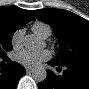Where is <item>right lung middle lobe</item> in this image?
I'll use <instances>...</instances> for the list:
<instances>
[{"label": "right lung middle lobe", "mask_w": 89, "mask_h": 89, "mask_svg": "<svg viewBox=\"0 0 89 89\" xmlns=\"http://www.w3.org/2000/svg\"><path fill=\"white\" fill-rule=\"evenodd\" d=\"M13 31L0 26V56L6 55V52L12 50V36Z\"/></svg>", "instance_id": "1"}]
</instances>
